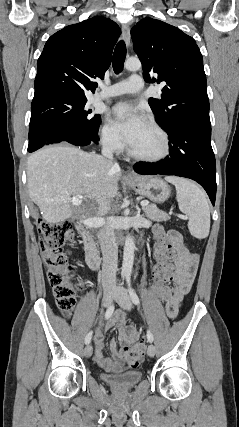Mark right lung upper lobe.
Segmentation results:
<instances>
[{"label":"right lung upper lobe","instance_id":"cb5924a9","mask_svg":"<svg viewBox=\"0 0 239 427\" xmlns=\"http://www.w3.org/2000/svg\"><path fill=\"white\" fill-rule=\"evenodd\" d=\"M121 34L112 20L95 16L52 35L40 55L34 99L55 95L87 99L95 92V78H103L113 47Z\"/></svg>","mask_w":239,"mask_h":427}]
</instances>
